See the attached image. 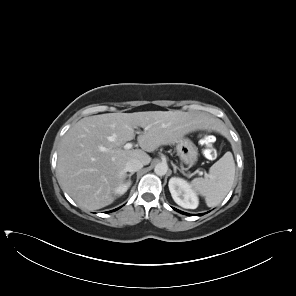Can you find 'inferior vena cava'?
Here are the masks:
<instances>
[{
  "instance_id": "602c4592",
  "label": "inferior vena cava",
  "mask_w": 296,
  "mask_h": 296,
  "mask_svg": "<svg viewBox=\"0 0 296 296\" xmlns=\"http://www.w3.org/2000/svg\"><path fill=\"white\" fill-rule=\"evenodd\" d=\"M143 167V163L138 159H131L126 163V171L136 172Z\"/></svg>"
}]
</instances>
